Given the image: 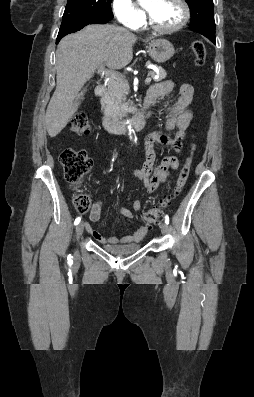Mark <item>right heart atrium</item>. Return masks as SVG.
Returning <instances> with one entry per match:
<instances>
[{
    "label": "right heart atrium",
    "mask_w": 254,
    "mask_h": 397,
    "mask_svg": "<svg viewBox=\"0 0 254 397\" xmlns=\"http://www.w3.org/2000/svg\"><path fill=\"white\" fill-rule=\"evenodd\" d=\"M112 11L120 23L131 29L140 27L145 18L132 0H112Z\"/></svg>",
    "instance_id": "right-heart-atrium-1"
}]
</instances>
